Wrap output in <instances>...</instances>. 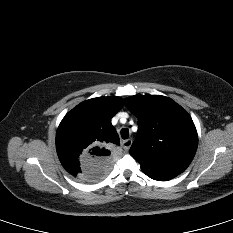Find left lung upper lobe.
<instances>
[{
  "instance_id": "1",
  "label": "left lung upper lobe",
  "mask_w": 233,
  "mask_h": 233,
  "mask_svg": "<svg viewBox=\"0 0 233 233\" xmlns=\"http://www.w3.org/2000/svg\"><path fill=\"white\" fill-rule=\"evenodd\" d=\"M125 104L138 119L130 154L142 171L182 173L191 163L198 144L190 115L175 101L160 95L131 96Z\"/></svg>"
}]
</instances>
